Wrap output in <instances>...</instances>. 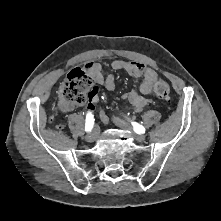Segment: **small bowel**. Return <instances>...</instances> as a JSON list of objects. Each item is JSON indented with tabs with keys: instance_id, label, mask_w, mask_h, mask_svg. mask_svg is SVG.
I'll return each mask as SVG.
<instances>
[{
	"instance_id": "1",
	"label": "small bowel",
	"mask_w": 221,
	"mask_h": 221,
	"mask_svg": "<svg viewBox=\"0 0 221 221\" xmlns=\"http://www.w3.org/2000/svg\"><path fill=\"white\" fill-rule=\"evenodd\" d=\"M111 68L115 71H126L134 78H142L138 91L132 90L123 96L135 111H141L148 103L146 95L153 91L159 81L157 72L137 61L115 60L111 63ZM86 69L97 84L103 85L108 91H113L115 89L114 75H105L100 63L90 61L86 64ZM88 93V104L86 108L88 113H91L95 109V104L99 101L101 90L98 86L93 85L89 88ZM75 106L76 104L62 100L59 102V109L64 112L73 110Z\"/></svg>"
}]
</instances>
